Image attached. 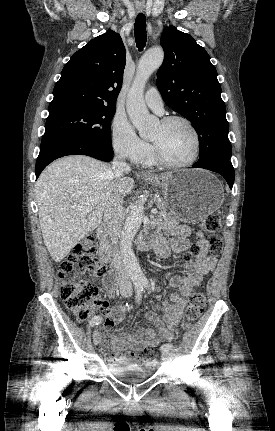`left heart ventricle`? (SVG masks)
I'll return each instance as SVG.
<instances>
[{
	"label": "left heart ventricle",
	"instance_id": "obj_1",
	"mask_svg": "<svg viewBox=\"0 0 275 431\" xmlns=\"http://www.w3.org/2000/svg\"><path fill=\"white\" fill-rule=\"evenodd\" d=\"M149 140L156 146L160 155L172 163L186 162L194 152L193 135L181 122H174L167 126L159 123Z\"/></svg>",
	"mask_w": 275,
	"mask_h": 431
}]
</instances>
